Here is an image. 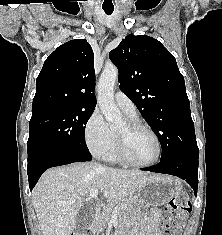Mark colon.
<instances>
[{"instance_id": "colon-1", "label": "colon", "mask_w": 222, "mask_h": 235, "mask_svg": "<svg viewBox=\"0 0 222 235\" xmlns=\"http://www.w3.org/2000/svg\"><path fill=\"white\" fill-rule=\"evenodd\" d=\"M191 209L192 207L187 193L184 191L177 193L170 200L165 210L161 235H179L180 220L190 213Z\"/></svg>"}]
</instances>
